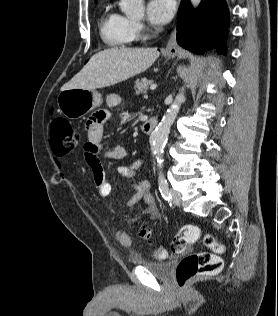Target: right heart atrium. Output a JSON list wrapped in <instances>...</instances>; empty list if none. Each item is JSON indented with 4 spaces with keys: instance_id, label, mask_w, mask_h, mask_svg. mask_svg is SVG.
I'll use <instances>...</instances> for the list:
<instances>
[{
    "instance_id": "d8ad5b80",
    "label": "right heart atrium",
    "mask_w": 278,
    "mask_h": 316,
    "mask_svg": "<svg viewBox=\"0 0 278 316\" xmlns=\"http://www.w3.org/2000/svg\"><path fill=\"white\" fill-rule=\"evenodd\" d=\"M129 30L133 39L139 38L144 31V25L140 21L129 19Z\"/></svg>"
}]
</instances>
